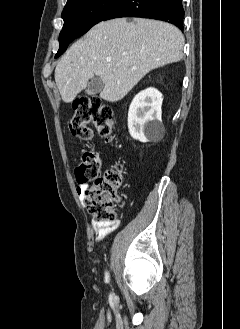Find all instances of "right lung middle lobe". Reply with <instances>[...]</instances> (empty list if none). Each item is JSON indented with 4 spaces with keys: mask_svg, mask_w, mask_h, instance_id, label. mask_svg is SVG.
<instances>
[{
    "mask_svg": "<svg viewBox=\"0 0 240 329\" xmlns=\"http://www.w3.org/2000/svg\"><path fill=\"white\" fill-rule=\"evenodd\" d=\"M122 0H74L66 4L62 12L63 29L59 35L60 48L55 57L60 56L70 42L86 33Z\"/></svg>",
    "mask_w": 240,
    "mask_h": 329,
    "instance_id": "obj_1",
    "label": "right lung middle lobe"
}]
</instances>
